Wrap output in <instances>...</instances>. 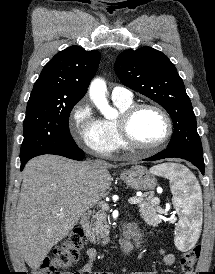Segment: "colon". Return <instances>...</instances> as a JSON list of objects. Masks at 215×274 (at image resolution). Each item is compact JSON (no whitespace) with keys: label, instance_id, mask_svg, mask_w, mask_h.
Instances as JSON below:
<instances>
[{"label":"colon","instance_id":"colon-1","mask_svg":"<svg viewBox=\"0 0 215 274\" xmlns=\"http://www.w3.org/2000/svg\"><path fill=\"white\" fill-rule=\"evenodd\" d=\"M82 248L83 231L80 228H75L65 236L52 254L46 257L32 274H74L62 272V270L72 266L78 259ZM200 251V246L197 245L182 254L180 264L185 274H193Z\"/></svg>","mask_w":215,"mask_h":274}]
</instances>
